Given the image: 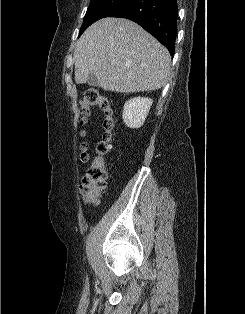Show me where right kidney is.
Segmentation results:
<instances>
[{"instance_id":"ca27d5eb","label":"right kidney","mask_w":245,"mask_h":314,"mask_svg":"<svg viewBox=\"0 0 245 314\" xmlns=\"http://www.w3.org/2000/svg\"><path fill=\"white\" fill-rule=\"evenodd\" d=\"M153 101L149 98L135 97L124 104L122 118L129 128H140L148 116Z\"/></svg>"}]
</instances>
